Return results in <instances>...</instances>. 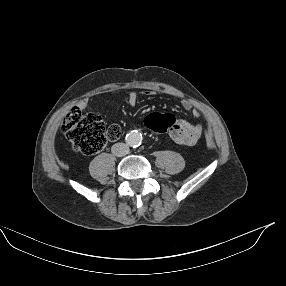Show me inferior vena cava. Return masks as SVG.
Returning <instances> with one entry per match:
<instances>
[{
	"label": "inferior vena cava",
	"instance_id": "inferior-vena-cava-1",
	"mask_svg": "<svg viewBox=\"0 0 286 286\" xmlns=\"http://www.w3.org/2000/svg\"><path fill=\"white\" fill-rule=\"evenodd\" d=\"M112 153L117 157L125 156L129 153V147L124 143H116L111 148Z\"/></svg>",
	"mask_w": 286,
	"mask_h": 286
}]
</instances>
